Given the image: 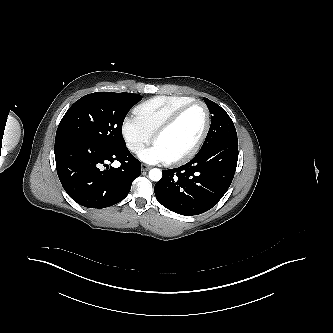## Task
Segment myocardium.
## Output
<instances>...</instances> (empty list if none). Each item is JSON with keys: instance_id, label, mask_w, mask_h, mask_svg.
<instances>
[{"instance_id": "f54148a6", "label": "myocardium", "mask_w": 333, "mask_h": 333, "mask_svg": "<svg viewBox=\"0 0 333 333\" xmlns=\"http://www.w3.org/2000/svg\"><path fill=\"white\" fill-rule=\"evenodd\" d=\"M196 105L202 106L204 109V112H205V125L202 130V133H201L200 137L198 138V140L196 141V143L187 152H185L179 156L173 157L171 159H167V162L170 164L184 163V162L190 160L192 157H194L198 153V151L201 149L203 143L205 142V140L207 138V135L209 133L210 126H211L210 110H209L208 106L206 105V103H204L201 100L191 101V102L183 105L179 109H177L175 112H173L154 132L153 140H154V142H156V140L164 132H166L168 129H170L181 118V116L186 111H188L190 108H192L193 106H196Z\"/></svg>"}]
</instances>
